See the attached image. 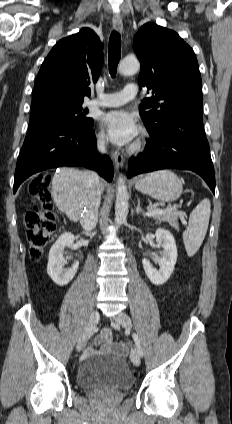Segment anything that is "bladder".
I'll use <instances>...</instances> for the list:
<instances>
[{
    "instance_id": "obj_1",
    "label": "bladder",
    "mask_w": 232,
    "mask_h": 424,
    "mask_svg": "<svg viewBox=\"0 0 232 424\" xmlns=\"http://www.w3.org/2000/svg\"><path fill=\"white\" fill-rule=\"evenodd\" d=\"M84 389L108 387L126 390L134 384V376L123 358L94 356L83 362L76 374Z\"/></svg>"
}]
</instances>
